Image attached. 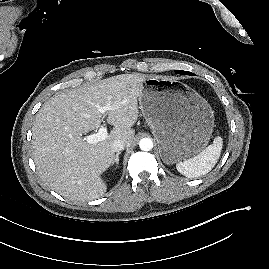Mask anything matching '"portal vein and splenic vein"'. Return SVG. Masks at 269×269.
<instances>
[{
	"label": "portal vein and splenic vein",
	"mask_w": 269,
	"mask_h": 269,
	"mask_svg": "<svg viewBox=\"0 0 269 269\" xmlns=\"http://www.w3.org/2000/svg\"><path fill=\"white\" fill-rule=\"evenodd\" d=\"M107 110H109V107H106V106H104V107L99 106L97 108L98 113H100L103 116L105 115ZM107 137H108L107 127L101 126L97 133L85 136L84 140H86L87 143H89V144H96L100 141L105 140Z\"/></svg>",
	"instance_id": "18ae733b"
}]
</instances>
